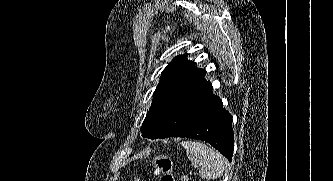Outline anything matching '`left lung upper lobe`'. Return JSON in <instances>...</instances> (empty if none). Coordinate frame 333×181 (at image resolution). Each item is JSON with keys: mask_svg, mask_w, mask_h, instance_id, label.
<instances>
[{"mask_svg": "<svg viewBox=\"0 0 333 181\" xmlns=\"http://www.w3.org/2000/svg\"><path fill=\"white\" fill-rule=\"evenodd\" d=\"M187 55L175 57L163 70L141 127L143 137H172L213 97L212 85L204 79L206 70Z\"/></svg>", "mask_w": 333, "mask_h": 181, "instance_id": "obj_1", "label": "left lung upper lobe"}]
</instances>
